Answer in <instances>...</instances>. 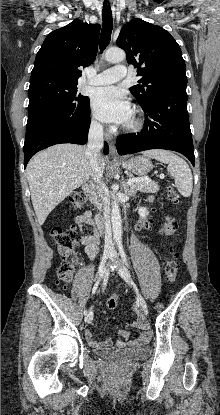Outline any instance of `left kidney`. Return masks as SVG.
<instances>
[{"mask_svg": "<svg viewBox=\"0 0 220 415\" xmlns=\"http://www.w3.org/2000/svg\"><path fill=\"white\" fill-rule=\"evenodd\" d=\"M138 213L141 217H145L148 214V211L145 207H140Z\"/></svg>", "mask_w": 220, "mask_h": 415, "instance_id": "obj_1", "label": "left kidney"}]
</instances>
